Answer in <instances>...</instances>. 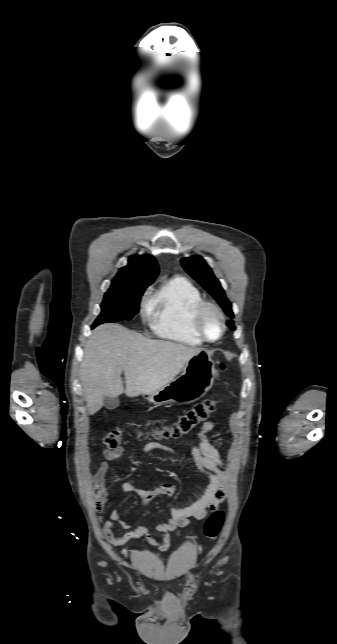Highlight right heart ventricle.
Masks as SVG:
<instances>
[{"label":"right heart ventricle","mask_w":337,"mask_h":644,"mask_svg":"<svg viewBox=\"0 0 337 644\" xmlns=\"http://www.w3.org/2000/svg\"><path fill=\"white\" fill-rule=\"evenodd\" d=\"M203 300L198 287L184 276L165 281L149 302L150 325L160 337L189 346L203 340L192 327L196 306Z\"/></svg>","instance_id":"1"}]
</instances>
